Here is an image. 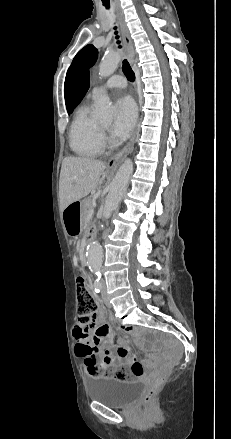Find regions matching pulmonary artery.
<instances>
[{
	"mask_svg": "<svg viewBox=\"0 0 231 439\" xmlns=\"http://www.w3.org/2000/svg\"><path fill=\"white\" fill-rule=\"evenodd\" d=\"M126 86V80L121 75L111 76L102 87H94L91 91V97H97L103 90H110L115 88H124Z\"/></svg>",
	"mask_w": 231,
	"mask_h": 439,
	"instance_id": "obj_1",
	"label": "pulmonary artery"
}]
</instances>
